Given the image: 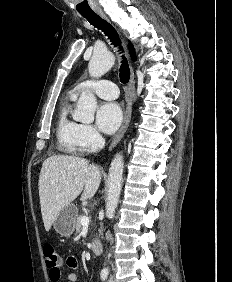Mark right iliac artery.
Masks as SVG:
<instances>
[{"label": "right iliac artery", "instance_id": "1", "mask_svg": "<svg viewBox=\"0 0 232 282\" xmlns=\"http://www.w3.org/2000/svg\"><path fill=\"white\" fill-rule=\"evenodd\" d=\"M107 275H108V272L105 271V270H103V271L101 272V279H102V280H105V279L107 278Z\"/></svg>", "mask_w": 232, "mask_h": 282}]
</instances>
